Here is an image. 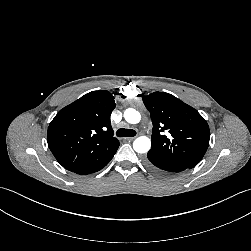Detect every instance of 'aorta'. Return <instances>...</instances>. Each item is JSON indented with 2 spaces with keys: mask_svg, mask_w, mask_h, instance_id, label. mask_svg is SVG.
Here are the masks:
<instances>
[{
  "mask_svg": "<svg viewBox=\"0 0 251 251\" xmlns=\"http://www.w3.org/2000/svg\"><path fill=\"white\" fill-rule=\"evenodd\" d=\"M124 118L130 124H137L141 120V114L133 108H128L124 112ZM150 147L151 141L146 136H140L133 142V148L137 153H147Z\"/></svg>",
  "mask_w": 251,
  "mask_h": 251,
  "instance_id": "1",
  "label": "aorta"
}]
</instances>
